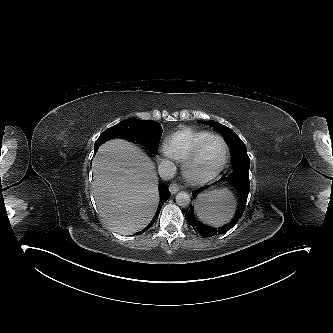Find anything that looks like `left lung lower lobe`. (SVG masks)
Masks as SVG:
<instances>
[{"label": "left lung lower lobe", "mask_w": 333, "mask_h": 333, "mask_svg": "<svg viewBox=\"0 0 333 333\" xmlns=\"http://www.w3.org/2000/svg\"><path fill=\"white\" fill-rule=\"evenodd\" d=\"M224 178H226L229 182L233 184V186L237 189L239 194V206L236 215L234 216V218L231 220L230 223L226 224L221 228L216 229L201 224L199 221H197L194 217L193 208L191 206L189 212L185 214V219L194 228L195 232L199 233V235L202 237H211L216 234L219 235L228 231L238 222V220L241 218V215L245 210V205L250 190L249 174L248 176H243L237 179L236 178L230 179L229 177L227 178L224 176L221 179ZM204 189L205 187L197 189L192 193V196L195 198Z\"/></svg>", "instance_id": "left-lung-lower-lobe-1"}]
</instances>
